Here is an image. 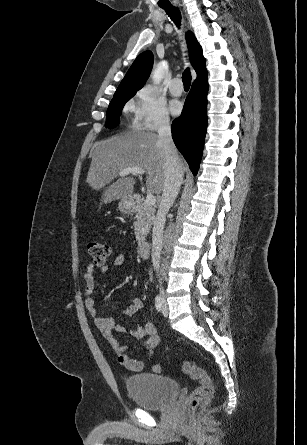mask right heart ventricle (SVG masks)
I'll list each match as a JSON object with an SVG mask.
<instances>
[{
  "mask_svg": "<svg viewBox=\"0 0 307 445\" xmlns=\"http://www.w3.org/2000/svg\"><path fill=\"white\" fill-rule=\"evenodd\" d=\"M129 104L136 106V103L133 100H130Z\"/></svg>",
  "mask_w": 307,
  "mask_h": 445,
  "instance_id": "e07e8e85",
  "label": "right heart ventricle"
}]
</instances>
